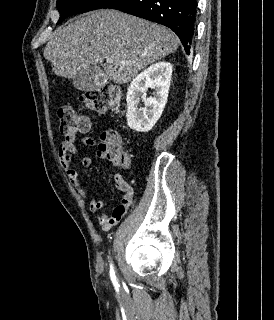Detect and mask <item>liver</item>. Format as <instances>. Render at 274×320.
Returning <instances> with one entry per match:
<instances>
[{
    "instance_id": "1",
    "label": "liver",
    "mask_w": 274,
    "mask_h": 320,
    "mask_svg": "<svg viewBox=\"0 0 274 320\" xmlns=\"http://www.w3.org/2000/svg\"><path fill=\"white\" fill-rule=\"evenodd\" d=\"M179 44L165 26L118 10H95L56 28L43 56L56 76L75 80L101 64L105 80L127 84L150 64L173 54ZM105 58H112L113 64H103Z\"/></svg>"
}]
</instances>
